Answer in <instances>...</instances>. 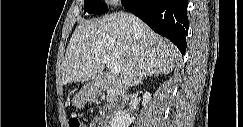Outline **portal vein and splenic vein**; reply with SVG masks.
Listing matches in <instances>:
<instances>
[{
	"label": "portal vein and splenic vein",
	"mask_w": 243,
	"mask_h": 127,
	"mask_svg": "<svg viewBox=\"0 0 243 127\" xmlns=\"http://www.w3.org/2000/svg\"><path fill=\"white\" fill-rule=\"evenodd\" d=\"M103 62L113 74H119L121 72L120 65L116 61L112 60L110 57H104Z\"/></svg>",
	"instance_id": "18ae733b"
}]
</instances>
